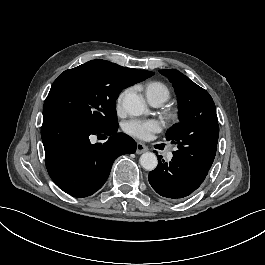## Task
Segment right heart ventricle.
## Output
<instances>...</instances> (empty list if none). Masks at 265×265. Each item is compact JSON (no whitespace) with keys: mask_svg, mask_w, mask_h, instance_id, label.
Wrapping results in <instances>:
<instances>
[{"mask_svg":"<svg viewBox=\"0 0 265 265\" xmlns=\"http://www.w3.org/2000/svg\"><path fill=\"white\" fill-rule=\"evenodd\" d=\"M140 89L147 100L156 105L166 102L171 96L169 87L159 80H148L140 85Z\"/></svg>","mask_w":265,"mask_h":265,"instance_id":"obj_1","label":"right heart ventricle"}]
</instances>
